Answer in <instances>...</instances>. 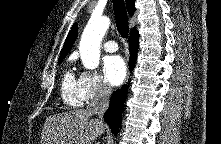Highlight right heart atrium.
<instances>
[{
	"label": "right heart atrium",
	"mask_w": 221,
	"mask_h": 144,
	"mask_svg": "<svg viewBox=\"0 0 221 144\" xmlns=\"http://www.w3.org/2000/svg\"><path fill=\"white\" fill-rule=\"evenodd\" d=\"M80 93L83 101L91 102L105 98L110 93L106 81L96 72L84 71L79 77Z\"/></svg>",
	"instance_id": "right-heart-atrium-1"
}]
</instances>
